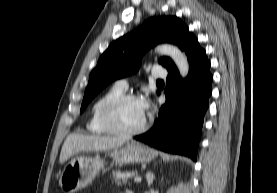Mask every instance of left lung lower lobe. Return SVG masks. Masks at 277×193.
<instances>
[{"label":"left lung lower lobe","instance_id":"left-lung-lower-lobe-1","mask_svg":"<svg viewBox=\"0 0 277 193\" xmlns=\"http://www.w3.org/2000/svg\"><path fill=\"white\" fill-rule=\"evenodd\" d=\"M184 51L189 60L186 80L181 79L175 65L167 68L166 102L158 119L152 129L134 138L162 151L195 160L213 76L206 52L195 37Z\"/></svg>","mask_w":277,"mask_h":193}]
</instances>
